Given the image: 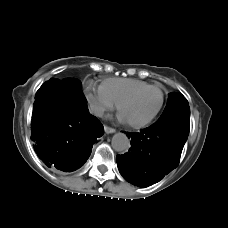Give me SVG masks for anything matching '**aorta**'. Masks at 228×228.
<instances>
[{"label": "aorta", "mask_w": 228, "mask_h": 228, "mask_svg": "<svg viewBox=\"0 0 228 228\" xmlns=\"http://www.w3.org/2000/svg\"><path fill=\"white\" fill-rule=\"evenodd\" d=\"M112 148L120 153H126L130 149V141L124 133H116L112 138Z\"/></svg>", "instance_id": "aorta-1"}]
</instances>
